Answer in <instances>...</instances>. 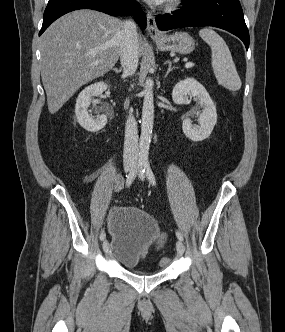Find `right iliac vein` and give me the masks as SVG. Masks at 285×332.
<instances>
[{
    "label": "right iliac vein",
    "mask_w": 285,
    "mask_h": 332,
    "mask_svg": "<svg viewBox=\"0 0 285 332\" xmlns=\"http://www.w3.org/2000/svg\"><path fill=\"white\" fill-rule=\"evenodd\" d=\"M132 167H133V166H132L131 164L126 165V166H125V171H126V172L131 171V170H132ZM103 250H104L105 252H108V250H109V243H108L107 240H104V242H103Z\"/></svg>",
    "instance_id": "63e3f726"
}]
</instances>
